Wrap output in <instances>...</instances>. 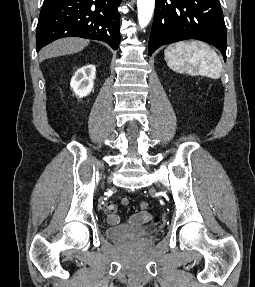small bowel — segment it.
<instances>
[{
  "instance_id": "c3829d8e",
  "label": "small bowel",
  "mask_w": 255,
  "mask_h": 287,
  "mask_svg": "<svg viewBox=\"0 0 255 287\" xmlns=\"http://www.w3.org/2000/svg\"><path fill=\"white\" fill-rule=\"evenodd\" d=\"M123 205L129 204L128 198H123L121 200ZM117 206L115 203H108L105 206V212L107 214V222L110 225H116L120 222V217L117 214ZM160 221L159 216L153 215L147 211H139L126 219L128 225H144L153 224L156 225Z\"/></svg>"
}]
</instances>
